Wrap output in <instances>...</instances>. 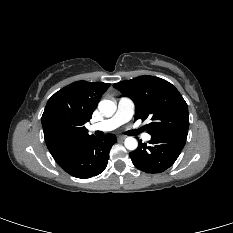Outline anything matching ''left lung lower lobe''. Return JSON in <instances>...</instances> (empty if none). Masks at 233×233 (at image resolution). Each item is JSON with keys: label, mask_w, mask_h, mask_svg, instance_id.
I'll return each instance as SVG.
<instances>
[{"label": "left lung lower lobe", "mask_w": 233, "mask_h": 233, "mask_svg": "<svg viewBox=\"0 0 233 233\" xmlns=\"http://www.w3.org/2000/svg\"><path fill=\"white\" fill-rule=\"evenodd\" d=\"M187 135L169 134L152 137L149 144L139 142L138 148L129 153L136 168L146 173H160L168 169L181 153Z\"/></svg>", "instance_id": "0a47b994"}]
</instances>
